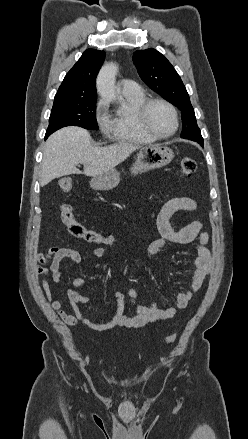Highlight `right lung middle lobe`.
Listing matches in <instances>:
<instances>
[{
	"instance_id": "obj_1",
	"label": "right lung middle lobe",
	"mask_w": 248,
	"mask_h": 439,
	"mask_svg": "<svg viewBox=\"0 0 248 439\" xmlns=\"http://www.w3.org/2000/svg\"><path fill=\"white\" fill-rule=\"evenodd\" d=\"M96 99L81 97H58L54 99L45 138L65 126H80L98 130L96 122Z\"/></svg>"
}]
</instances>
